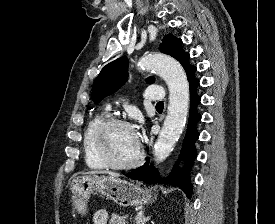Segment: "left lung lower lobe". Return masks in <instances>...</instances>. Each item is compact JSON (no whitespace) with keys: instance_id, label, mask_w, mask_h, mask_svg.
Instances as JSON below:
<instances>
[{"instance_id":"left-lung-lower-lobe-1","label":"left lung lower lobe","mask_w":275,"mask_h":224,"mask_svg":"<svg viewBox=\"0 0 275 224\" xmlns=\"http://www.w3.org/2000/svg\"><path fill=\"white\" fill-rule=\"evenodd\" d=\"M196 69H193L188 75V81L190 83V114L187 132L183 141L181 153L179 159H184L187 161L186 166L182 170H178V161L175 163L171 174L161 180L158 177V173L155 168L149 164L150 159L148 158L146 163L127 173L126 176L132 179H136L139 181H144L147 184H170L173 186H178L181 188L188 198L191 197L192 185L190 183V167L194 158L196 157V149L194 146L195 141L199 137V133L196 130V124L201 119V115L197 112L196 107L200 103V96L196 93V88L199 86V80L194 77Z\"/></svg>"}]
</instances>
